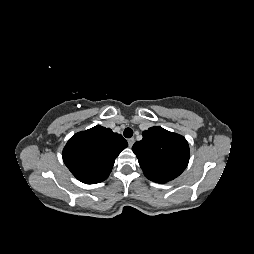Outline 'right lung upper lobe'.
Segmentation results:
<instances>
[{
    "label": "right lung upper lobe",
    "mask_w": 254,
    "mask_h": 254,
    "mask_svg": "<svg viewBox=\"0 0 254 254\" xmlns=\"http://www.w3.org/2000/svg\"><path fill=\"white\" fill-rule=\"evenodd\" d=\"M128 146L121 134L95 126L73 135L63 149V161L71 173L85 184L108 178L115 159Z\"/></svg>",
    "instance_id": "1"
}]
</instances>
